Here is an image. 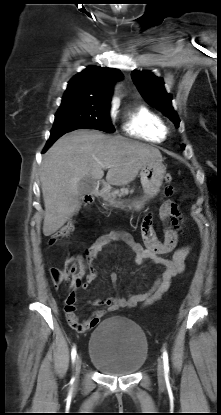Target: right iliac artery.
Wrapping results in <instances>:
<instances>
[{"instance_id":"1","label":"right iliac artery","mask_w":221,"mask_h":415,"mask_svg":"<svg viewBox=\"0 0 221 415\" xmlns=\"http://www.w3.org/2000/svg\"><path fill=\"white\" fill-rule=\"evenodd\" d=\"M76 348L74 347L73 349H72V351H71V359H72V362H74L75 361V358H76Z\"/></svg>"}]
</instances>
